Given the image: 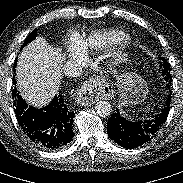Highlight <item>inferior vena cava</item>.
Listing matches in <instances>:
<instances>
[{
	"label": "inferior vena cava",
	"instance_id": "inferior-vena-cava-1",
	"mask_svg": "<svg viewBox=\"0 0 183 183\" xmlns=\"http://www.w3.org/2000/svg\"><path fill=\"white\" fill-rule=\"evenodd\" d=\"M62 69L67 77H78L82 74V68L76 61L66 62Z\"/></svg>",
	"mask_w": 183,
	"mask_h": 183
}]
</instances>
